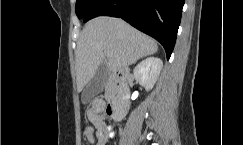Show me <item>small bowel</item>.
<instances>
[{
	"label": "small bowel",
	"instance_id": "obj_1",
	"mask_svg": "<svg viewBox=\"0 0 243 145\" xmlns=\"http://www.w3.org/2000/svg\"><path fill=\"white\" fill-rule=\"evenodd\" d=\"M104 110H106L105 102L97 99L87 113L89 120L98 127L95 137H90V142L94 145H106L108 139L115 136L111 128L100 117V113Z\"/></svg>",
	"mask_w": 243,
	"mask_h": 145
}]
</instances>
